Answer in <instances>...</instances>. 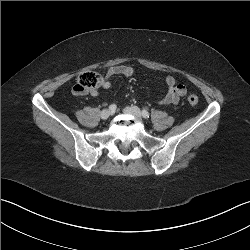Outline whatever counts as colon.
I'll list each match as a JSON object with an SVG mask.
<instances>
[{
  "label": "colon",
  "instance_id": "5ec220e1",
  "mask_svg": "<svg viewBox=\"0 0 250 250\" xmlns=\"http://www.w3.org/2000/svg\"><path fill=\"white\" fill-rule=\"evenodd\" d=\"M102 83L103 79L98 73L86 71L77 77L76 84L73 87V92L78 95H83L97 89ZM188 102L191 105H196L199 102V99L196 95L192 94L188 96Z\"/></svg>",
  "mask_w": 250,
  "mask_h": 250
}]
</instances>
